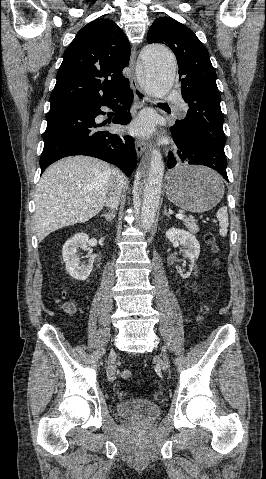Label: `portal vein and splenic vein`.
Returning <instances> with one entry per match:
<instances>
[{
  "instance_id": "portal-vein-and-splenic-vein-1",
  "label": "portal vein and splenic vein",
  "mask_w": 266,
  "mask_h": 479,
  "mask_svg": "<svg viewBox=\"0 0 266 479\" xmlns=\"http://www.w3.org/2000/svg\"><path fill=\"white\" fill-rule=\"evenodd\" d=\"M86 201H87V202H90V200H88V199H87ZM184 217H185V216H184L183 214H177V215H176V218H177V219H183Z\"/></svg>"
}]
</instances>
